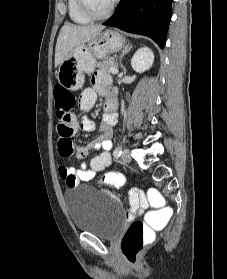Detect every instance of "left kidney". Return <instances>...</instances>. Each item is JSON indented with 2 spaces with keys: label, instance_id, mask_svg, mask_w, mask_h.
Segmentation results:
<instances>
[{
  "label": "left kidney",
  "instance_id": "left-kidney-1",
  "mask_svg": "<svg viewBox=\"0 0 227 279\" xmlns=\"http://www.w3.org/2000/svg\"><path fill=\"white\" fill-rule=\"evenodd\" d=\"M154 62V54L148 47H141L132 57L131 66L139 73L149 70Z\"/></svg>",
  "mask_w": 227,
  "mask_h": 279
}]
</instances>
